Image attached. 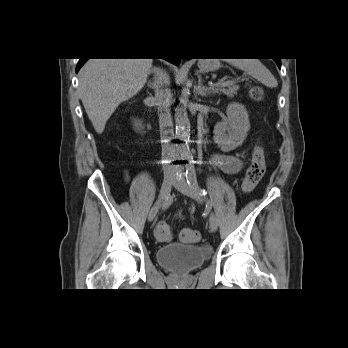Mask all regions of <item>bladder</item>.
Returning a JSON list of instances; mask_svg holds the SVG:
<instances>
[{
    "instance_id": "bladder-1",
    "label": "bladder",
    "mask_w": 348,
    "mask_h": 348,
    "mask_svg": "<svg viewBox=\"0 0 348 348\" xmlns=\"http://www.w3.org/2000/svg\"><path fill=\"white\" fill-rule=\"evenodd\" d=\"M211 252L201 245L170 243L157 249L160 264L178 273H187L199 267Z\"/></svg>"
}]
</instances>
